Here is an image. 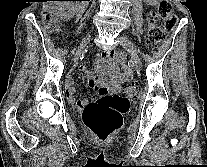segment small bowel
<instances>
[{"label": "small bowel", "mask_w": 207, "mask_h": 167, "mask_svg": "<svg viewBox=\"0 0 207 167\" xmlns=\"http://www.w3.org/2000/svg\"><path fill=\"white\" fill-rule=\"evenodd\" d=\"M147 2H152L153 0H146ZM110 53H105L104 57L110 56ZM79 71L86 74L89 80V84L98 90L100 96L107 94L108 92H114L118 89L120 80H128L132 77L131 70L123 66L122 73L120 74L118 69L114 65L109 66V80H105L101 75L95 78L91 73H89L85 66L81 65ZM65 89L68 100L72 104H76L80 108L86 107L91 101L88 99H76V90L73 87V79L67 77L65 80Z\"/></svg>", "instance_id": "c3829d8e"}]
</instances>
